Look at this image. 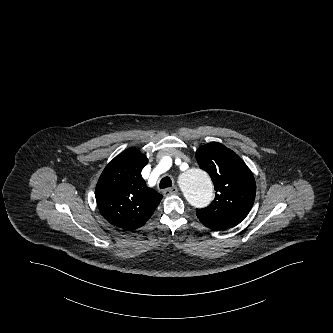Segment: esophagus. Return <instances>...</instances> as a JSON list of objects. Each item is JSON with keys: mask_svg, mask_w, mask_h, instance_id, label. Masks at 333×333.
<instances>
[{"mask_svg": "<svg viewBox=\"0 0 333 333\" xmlns=\"http://www.w3.org/2000/svg\"><path fill=\"white\" fill-rule=\"evenodd\" d=\"M165 196L175 195L178 193V188L176 186L167 188L163 191Z\"/></svg>", "mask_w": 333, "mask_h": 333, "instance_id": "esophagus-1", "label": "esophagus"}]
</instances>
